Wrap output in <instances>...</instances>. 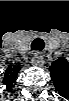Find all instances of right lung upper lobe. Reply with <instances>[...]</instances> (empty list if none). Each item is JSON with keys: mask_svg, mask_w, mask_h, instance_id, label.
Wrapping results in <instances>:
<instances>
[{"mask_svg": "<svg viewBox=\"0 0 69 101\" xmlns=\"http://www.w3.org/2000/svg\"><path fill=\"white\" fill-rule=\"evenodd\" d=\"M20 70V67L15 66L11 67L9 66L5 72V78H4V83L7 84V89H11L13 86V82L17 78V74Z\"/></svg>", "mask_w": 69, "mask_h": 101, "instance_id": "right-lung-upper-lobe-1", "label": "right lung upper lobe"}]
</instances>
